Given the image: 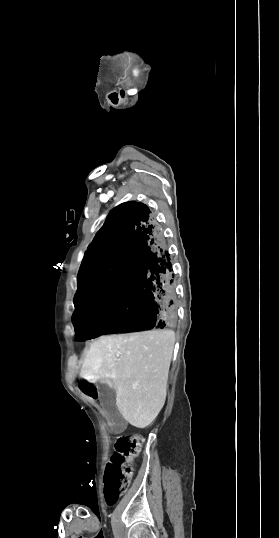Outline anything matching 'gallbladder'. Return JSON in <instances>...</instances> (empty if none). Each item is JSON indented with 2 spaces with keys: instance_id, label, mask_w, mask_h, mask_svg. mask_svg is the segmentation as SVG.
Masks as SVG:
<instances>
[{
  "instance_id": "obj_1",
  "label": "gallbladder",
  "mask_w": 279,
  "mask_h": 538,
  "mask_svg": "<svg viewBox=\"0 0 279 538\" xmlns=\"http://www.w3.org/2000/svg\"><path fill=\"white\" fill-rule=\"evenodd\" d=\"M96 386L100 390L102 409L110 410L108 413V420L110 422H114L112 424V431L114 433H121L123 431V427L126 424V421L124 418H122V413L119 411V409L114 407L116 394L114 388H110L108 384H102V382H97Z\"/></svg>"
}]
</instances>
